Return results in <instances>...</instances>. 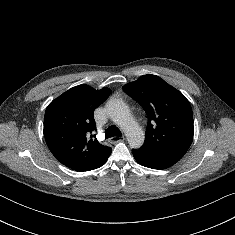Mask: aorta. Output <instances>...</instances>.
I'll return each mask as SVG.
<instances>
[{
	"instance_id": "obj_1",
	"label": "aorta",
	"mask_w": 235,
	"mask_h": 235,
	"mask_svg": "<svg viewBox=\"0 0 235 235\" xmlns=\"http://www.w3.org/2000/svg\"><path fill=\"white\" fill-rule=\"evenodd\" d=\"M110 119L125 133L131 148H140L144 143V133L130 113L128 106L119 99H111L106 105Z\"/></svg>"
}]
</instances>
